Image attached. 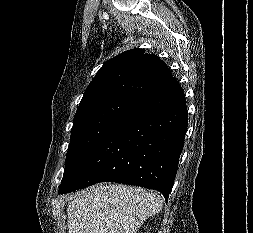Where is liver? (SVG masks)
<instances>
[{
    "label": "liver",
    "mask_w": 253,
    "mask_h": 233,
    "mask_svg": "<svg viewBox=\"0 0 253 233\" xmlns=\"http://www.w3.org/2000/svg\"><path fill=\"white\" fill-rule=\"evenodd\" d=\"M162 206V197L144 188L92 186L68 203V233H137Z\"/></svg>",
    "instance_id": "1"
}]
</instances>
